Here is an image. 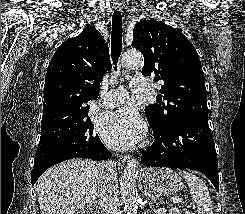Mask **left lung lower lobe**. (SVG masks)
Instances as JSON below:
<instances>
[{"label":"left lung lower lobe","mask_w":245,"mask_h":214,"mask_svg":"<svg viewBox=\"0 0 245 214\" xmlns=\"http://www.w3.org/2000/svg\"><path fill=\"white\" fill-rule=\"evenodd\" d=\"M152 129L155 141L141 157L145 166L199 171L219 191L217 154L207 118L191 117L169 131Z\"/></svg>","instance_id":"obj_1"}]
</instances>
